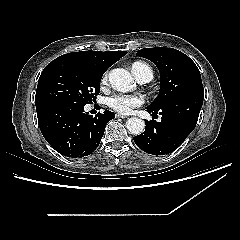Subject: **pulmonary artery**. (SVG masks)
<instances>
[{"mask_svg": "<svg viewBox=\"0 0 240 240\" xmlns=\"http://www.w3.org/2000/svg\"><path fill=\"white\" fill-rule=\"evenodd\" d=\"M151 79H152V77H150L149 75H144V76L140 77L138 80H139L141 83H147V82H149Z\"/></svg>", "mask_w": 240, "mask_h": 240, "instance_id": "obj_1", "label": "pulmonary artery"}]
</instances>
